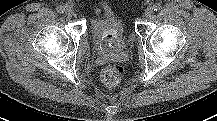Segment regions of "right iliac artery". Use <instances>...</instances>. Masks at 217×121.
Returning <instances> with one entry per match:
<instances>
[{"mask_svg": "<svg viewBox=\"0 0 217 121\" xmlns=\"http://www.w3.org/2000/svg\"><path fill=\"white\" fill-rule=\"evenodd\" d=\"M56 10H57L58 13H64L65 8L60 5V6H58V7L56 8Z\"/></svg>", "mask_w": 217, "mask_h": 121, "instance_id": "1", "label": "right iliac artery"}]
</instances>
